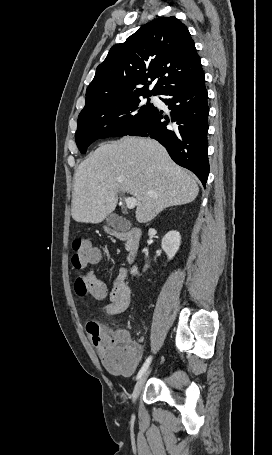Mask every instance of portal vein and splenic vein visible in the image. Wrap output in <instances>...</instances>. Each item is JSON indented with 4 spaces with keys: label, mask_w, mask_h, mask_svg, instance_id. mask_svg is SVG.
<instances>
[{
    "label": "portal vein and splenic vein",
    "mask_w": 272,
    "mask_h": 455,
    "mask_svg": "<svg viewBox=\"0 0 272 455\" xmlns=\"http://www.w3.org/2000/svg\"><path fill=\"white\" fill-rule=\"evenodd\" d=\"M125 203L128 209H133L137 204V200L134 197H125Z\"/></svg>",
    "instance_id": "portal-vein-and-splenic-vein-1"
}]
</instances>
